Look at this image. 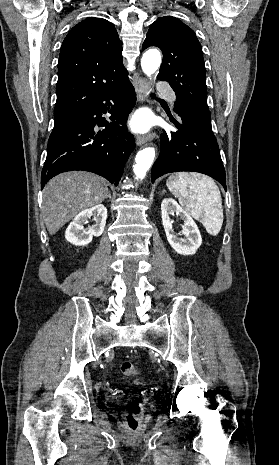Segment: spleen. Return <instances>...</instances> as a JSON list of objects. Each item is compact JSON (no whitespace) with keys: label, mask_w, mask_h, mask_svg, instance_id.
Here are the masks:
<instances>
[{"label":"spleen","mask_w":279,"mask_h":465,"mask_svg":"<svg viewBox=\"0 0 279 465\" xmlns=\"http://www.w3.org/2000/svg\"><path fill=\"white\" fill-rule=\"evenodd\" d=\"M170 192L178 197L181 206L207 232L216 236L223 224L222 199L218 186L207 176L180 172L170 175L166 181Z\"/></svg>","instance_id":"obj_1"}]
</instances>
